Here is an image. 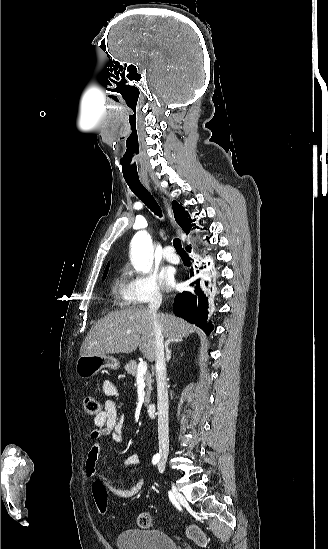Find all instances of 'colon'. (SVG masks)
I'll list each match as a JSON object with an SVG mask.
<instances>
[{
  "instance_id": "5ec220e1",
  "label": "colon",
  "mask_w": 328,
  "mask_h": 549,
  "mask_svg": "<svg viewBox=\"0 0 328 549\" xmlns=\"http://www.w3.org/2000/svg\"><path fill=\"white\" fill-rule=\"evenodd\" d=\"M85 412L88 415H98L101 412V404L95 397L88 396L84 399ZM92 491L97 510L100 514L107 512V487L102 479H96L92 485ZM152 518L147 512L140 513L137 518V525L142 529H147L151 526ZM187 536L199 545L207 543L206 535L199 528L190 526L187 529Z\"/></svg>"
}]
</instances>
